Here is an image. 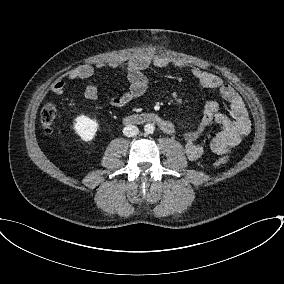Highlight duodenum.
Masks as SVG:
<instances>
[{
	"instance_id": "410a0bca",
	"label": "duodenum",
	"mask_w": 284,
	"mask_h": 284,
	"mask_svg": "<svg viewBox=\"0 0 284 284\" xmlns=\"http://www.w3.org/2000/svg\"><path fill=\"white\" fill-rule=\"evenodd\" d=\"M126 124L153 123L167 134L173 132V124L156 113H142L129 115L124 119Z\"/></svg>"
}]
</instances>
